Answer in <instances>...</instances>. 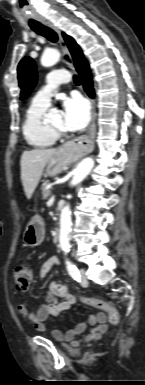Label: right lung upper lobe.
Returning <instances> with one entry per match:
<instances>
[{
  "label": "right lung upper lobe",
  "instance_id": "1",
  "mask_svg": "<svg viewBox=\"0 0 145 385\" xmlns=\"http://www.w3.org/2000/svg\"><path fill=\"white\" fill-rule=\"evenodd\" d=\"M63 38L72 54L76 69H79L82 65L87 64L80 47L77 45L74 39L65 33H63Z\"/></svg>",
  "mask_w": 145,
  "mask_h": 385
}]
</instances>
